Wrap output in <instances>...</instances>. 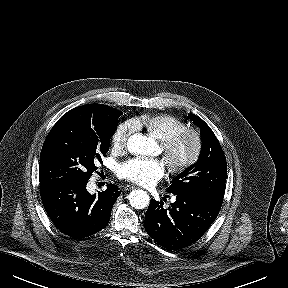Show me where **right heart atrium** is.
<instances>
[{"label": "right heart atrium", "mask_w": 288, "mask_h": 288, "mask_svg": "<svg viewBox=\"0 0 288 288\" xmlns=\"http://www.w3.org/2000/svg\"><path fill=\"white\" fill-rule=\"evenodd\" d=\"M134 130V124L130 121L121 123L112 135V145L115 149L122 150L126 147L128 138Z\"/></svg>", "instance_id": "right-heart-atrium-1"}]
</instances>
